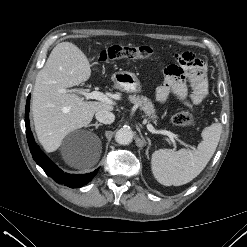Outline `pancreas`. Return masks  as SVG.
I'll return each instance as SVG.
<instances>
[{"label": "pancreas", "instance_id": "obj_1", "mask_svg": "<svg viewBox=\"0 0 247 247\" xmlns=\"http://www.w3.org/2000/svg\"><path fill=\"white\" fill-rule=\"evenodd\" d=\"M129 101L140 107V109L144 111L148 120H152L155 124H157L158 117L156 115L154 105L150 99L142 95H130Z\"/></svg>", "mask_w": 247, "mask_h": 247}]
</instances>
